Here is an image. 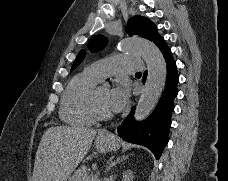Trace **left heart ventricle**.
I'll return each mask as SVG.
<instances>
[{
  "mask_svg": "<svg viewBox=\"0 0 228 181\" xmlns=\"http://www.w3.org/2000/svg\"><path fill=\"white\" fill-rule=\"evenodd\" d=\"M111 91L112 90L110 89L109 84L106 82L102 84L101 88L98 91L99 102L101 106L107 111L110 110L109 98H110Z\"/></svg>",
  "mask_w": 228,
  "mask_h": 181,
  "instance_id": "1",
  "label": "left heart ventricle"
}]
</instances>
